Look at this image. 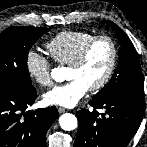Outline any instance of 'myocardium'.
<instances>
[{
    "label": "myocardium",
    "instance_id": "1",
    "mask_svg": "<svg viewBox=\"0 0 147 147\" xmlns=\"http://www.w3.org/2000/svg\"><path fill=\"white\" fill-rule=\"evenodd\" d=\"M101 40H105L110 44L111 52H112L111 60H110L109 67H108L105 75L103 76V78L98 83H96L95 85L90 87V89L92 91H99V90H102L103 88H105L109 84V82L111 81V79L114 75V72L117 67L118 55H119L118 46H117V43L114 40V38L108 34L95 35L83 46V48L79 52L76 59L69 65V67H72V68L81 67L85 63V61L87 60V57H88L91 49L93 48V46L98 41H101Z\"/></svg>",
    "mask_w": 147,
    "mask_h": 147
}]
</instances>
